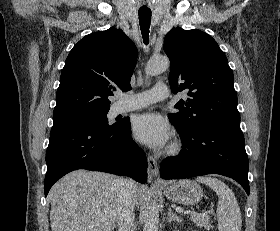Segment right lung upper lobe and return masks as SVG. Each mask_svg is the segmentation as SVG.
Masks as SVG:
<instances>
[{
	"label": "right lung upper lobe",
	"instance_id": "1",
	"mask_svg": "<svg viewBox=\"0 0 280 231\" xmlns=\"http://www.w3.org/2000/svg\"><path fill=\"white\" fill-rule=\"evenodd\" d=\"M137 56L135 44L114 27L80 40L62 69L53 126L108 113V96L131 89Z\"/></svg>",
	"mask_w": 280,
	"mask_h": 231
}]
</instances>
